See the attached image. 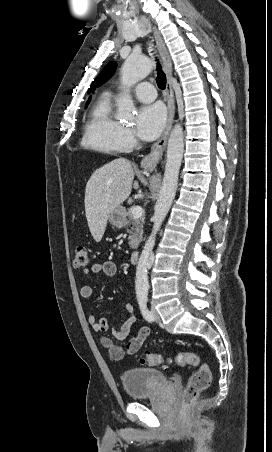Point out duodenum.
I'll return each instance as SVG.
<instances>
[{
    "label": "duodenum",
    "instance_id": "obj_1",
    "mask_svg": "<svg viewBox=\"0 0 272 452\" xmlns=\"http://www.w3.org/2000/svg\"><path fill=\"white\" fill-rule=\"evenodd\" d=\"M139 258V251L138 250H133L130 254V261L131 263H137Z\"/></svg>",
    "mask_w": 272,
    "mask_h": 452
}]
</instances>
